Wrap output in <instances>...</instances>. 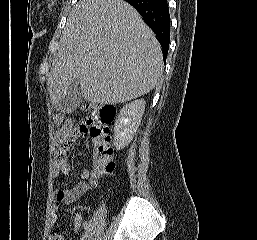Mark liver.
Instances as JSON below:
<instances>
[{
	"label": "liver",
	"instance_id": "liver-1",
	"mask_svg": "<svg viewBox=\"0 0 257 240\" xmlns=\"http://www.w3.org/2000/svg\"><path fill=\"white\" fill-rule=\"evenodd\" d=\"M161 46L124 0H81L68 15L47 85L58 104L78 80L91 103H121L150 92L163 71Z\"/></svg>",
	"mask_w": 257,
	"mask_h": 240
}]
</instances>
